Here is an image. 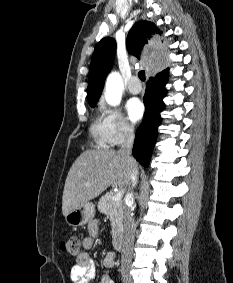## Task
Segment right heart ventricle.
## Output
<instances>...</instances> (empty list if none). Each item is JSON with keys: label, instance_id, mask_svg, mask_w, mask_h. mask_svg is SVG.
<instances>
[{"label": "right heart ventricle", "instance_id": "obj_1", "mask_svg": "<svg viewBox=\"0 0 233 283\" xmlns=\"http://www.w3.org/2000/svg\"><path fill=\"white\" fill-rule=\"evenodd\" d=\"M90 134L94 143L100 147L107 149L111 146V141L108 135L107 123L105 117L98 115L90 127Z\"/></svg>", "mask_w": 233, "mask_h": 283}]
</instances>
